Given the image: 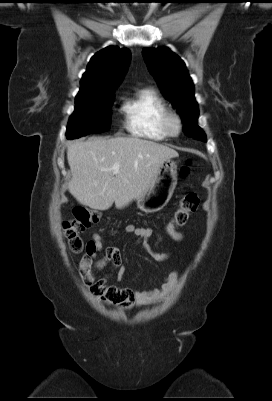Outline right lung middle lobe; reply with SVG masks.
<instances>
[{
	"instance_id": "right-lung-middle-lobe-1",
	"label": "right lung middle lobe",
	"mask_w": 272,
	"mask_h": 401,
	"mask_svg": "<svg viewBox=\"0 0 272 401\" xmlns=\"http://www.w3.org/2000/svg\"><path fill=\"white\" fill-rule=\"evenodd\" d=\"M113 97L114 91H105L76 98L75 111L70 116L67 126V138L108 131Z\"/></svg>"
}]
</instances>
